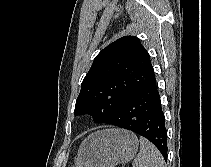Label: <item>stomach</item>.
<instances>
[{
  "label": "stomach",
  "mask_w": 211,
  "mask_h": 167,
  "mask_svg": "<svg viewBox=\"0 0 211 167\" xmlns=\"http://www.w3.org/2000/svg\"><path fill=\"white\" fill-rule=\"evenodd\" d=\"M138 146V138L130 131H97L82 142L73 167H115L132 160Z\"/></svg>",
  "instance_id": "obj_1"
}]
</instances>
